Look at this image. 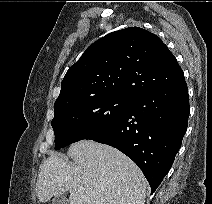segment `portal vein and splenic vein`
I'll return each mask as SVG.
<instances>
[{
  "mask_svg": "<svg viewBox=\"0 0 212 204\" xmlns=\"http://www.w3.org/2000/svg\"><path fill=\"white\" fill-rule=\"evenodd\" d=\"M78 192H79V193L84 192V187H79V188H78Z\"/></svg>",
  "mask_w": 212,
  "mask_h": 204,
  "instance_id": "portal-vein-and-splenic-vein-1",
  "label": "portal vein and splenic vein"
}]
</instances>
